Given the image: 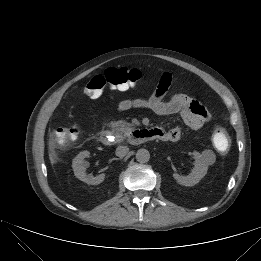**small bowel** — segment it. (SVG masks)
<instances>
[{
	"instance_id": "1",
	"label": "small bowel",
	"mask_w": 261,
	"mask_h": 261,
	"mask_svg": "<svg viewBox=\"0 0 261 261\" xmlns=\"http://www.w3.org/2000/svg\"><path fill=\"white\" fill-rule=\"evenodd\" d=\"M172 75L164 72L158 82L155 91L148 98H127L116 104L117 112H124L133 108H145L153 111L159 116L179 114L184 123L192 129H200L210 121V114L206 108L197 100L184 93H175L168 101L164 97L171 85ZM135 85H123L119 87L110 86V99L114 103L115 91H127ZM159 132V140L177 141L181 137V129L174 127L166 130L156 128Z\"/></svg>"
}]
</instances>
